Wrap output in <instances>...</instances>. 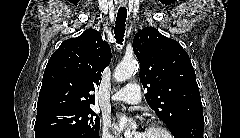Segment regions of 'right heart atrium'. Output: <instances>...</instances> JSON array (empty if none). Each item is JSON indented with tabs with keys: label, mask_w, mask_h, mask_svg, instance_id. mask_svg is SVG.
Returning a JSON list of instances; mask_svg holds the SVG:
<instances>
[{
	"label": "right heart atrium",
	"mask_w": 240,
	"mask_h": 138,
	"mask_svg": "<svg viewBox=\"0 0 240 138\" xmlns=\"http://www.w3.org/2000/svg\"><path fill=\"white\" fill-rule=\"evenodd\" d=\"M101 137L102 138H115L114 135L111 134L107 124H105V123L103 124L102 129H101Z\"/></svg>",
	"instance_id": "obj_1"
}]
</instances>
